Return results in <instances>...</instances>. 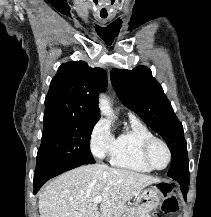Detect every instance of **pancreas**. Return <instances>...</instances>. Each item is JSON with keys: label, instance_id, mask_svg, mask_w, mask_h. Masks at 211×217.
Returning a JSON list of instances; mask_svg holds the SVG:
<instances>
[{"label": "pancreas", "instance_id": "pancreas-1", "mask_svg": "<svg viewBox=\"0 0 211 217\" xmlns=\"http://www.w3.org/2000/svg\"><path fill=\"white\" fill-rule=\"evenodd\" d=\"M114 217H134V208L133 206L126 205L123 206Z\"/></svg>", "mask_w": 211, "mask_h": 217}]
</instances>
